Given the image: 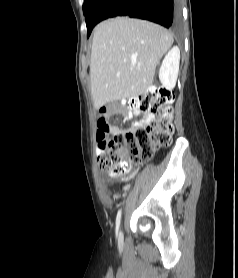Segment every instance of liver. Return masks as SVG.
I'll list each match as a JSON object with an SVG mask.
<instances>
[{
  "instance_id": "liver-1",
  "label": "liver",
  "mask_w": 238,
  "mask_h": 278,
  "mask_svg": "<svg viewBox=\"0 0 238 278\" xmlns=\"http://www.w3.org/2000/svg\"><path fill=\"white\" fill-rule=\"evenodd\" d=\"M173 41L169 31L145 20L117 17L99 23L90 58L94 107L143 95Z\"/></svg>"
}]
</instances>
